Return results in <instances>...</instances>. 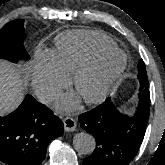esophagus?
Returning a JSON list of instances; mask_svg holds the SVG:
<instances>
[{"label": "esophagus", "mask_w": 165, "mask_h": 165, "mask_svg": "<svg viewBox=\"0 0 165 165\" xmlns=\"http://www.w3.org/2000/svg\"><path fill=\"white\" fill-rule=\"evenodd\" d=\"M64 128L68 132H72L76 129V121L73 118L66 117L63 119Z\"/></svg>", "instance_id": "1"}]
</instances>
